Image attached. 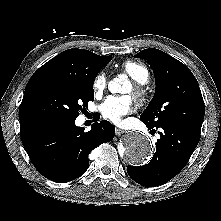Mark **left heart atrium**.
<instances>
[{"instance_id": "1", "label": "left heart atrium", "mask_w": 221, "mask_h": 221, "mask_svg": "<svg viewBox=\"0 0 221 221\" xmlns=\"http://www.w3.org/2000/svg\"><path fill=\"white\" fill-rule=\"evenodd\" d=\"M131 99L127 96H110L100 107L104 119L120 125L122 118L132 111Z\"/></svg>"}]
</instances>
